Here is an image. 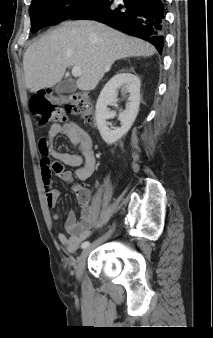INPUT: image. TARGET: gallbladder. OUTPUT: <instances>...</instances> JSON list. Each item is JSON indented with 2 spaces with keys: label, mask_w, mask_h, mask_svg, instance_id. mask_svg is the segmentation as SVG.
I'll list each match as a JSON object with an SVG mask.
<instances>
[{
  "label": "gallbladder",
  "mask_w": 213,
  "mask_h": 338,
  "mask_svg": "<svg viewBox=\"0 0 213 338\" xmlns=\"http://www.w3.org/2000/svg\"><path fill=\"white\" fill-rule=\"evenodd\" d=\"M74 91H76V85L67 80L60 81L55 87V92L57 94L72 93Z\"/></svg>",
  "instance_id": "1"
}]
</instances>
